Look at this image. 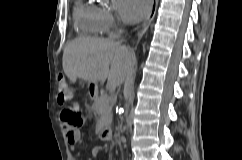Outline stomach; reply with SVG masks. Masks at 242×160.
Masks as SVG:
<instances>
[{"label": "stomach", "instance_id": "obj_1", "mask_svg": "<svg viewBox=\"0 0 242 160\" xmlns=\"http://www.w3.org/2000/svg\"><path fill=\"white\" fill-rule=\"evenodd\" d=\"M88 87L90 88L91 92L96 94L98 90V85L97 83L89 82Z\"/></svg>", "mask_w": 242, "mask_h": 160}]
</instances>
